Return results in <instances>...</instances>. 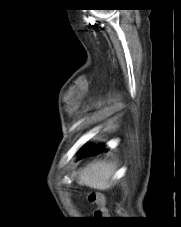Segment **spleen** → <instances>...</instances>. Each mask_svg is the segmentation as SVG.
<instances>
[{
  "label": "spleen",
  "instance_id": "spleen-1",
  "mask_svg": "<svg viewBox=\"0 0 181 227\" xmlns=\"http://www.w3.org/2000/svg\"><path fill=\"white\" fill-rule=\"evenodd\" d=\"M115 168L105 161H95L82 168L77 183L97 190H107L113 184Z\"/></svg>",
  "mask_w": 181,
  "mask_h": 227
}]
</instances>
